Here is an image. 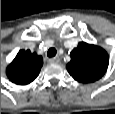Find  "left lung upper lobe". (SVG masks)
Listing matches in <instances>:
<instances>
[{
    "label": "left lung upper lobe",
    "instance_id": "5c2ea615",
    "mask_svg": "<svg viewBox=\"0 0 115 114\" xmlns=\"http://www.w3.org/2000/svg\"><path fill=\"white\" fill-rule=\"evenodd\" d=\"M71 61L66 68L78 82L90 83L100 79L106 72L109 57L107 52L96 45L80 42L70 53Z\"/></svg>",
    "mask_w": 115,
    "mask_h": 114
}]
</instances>
